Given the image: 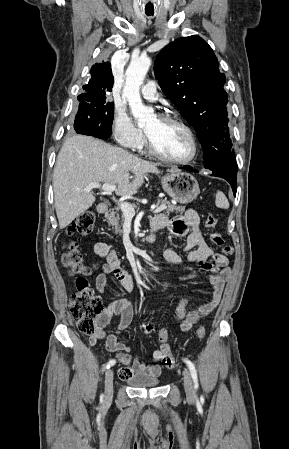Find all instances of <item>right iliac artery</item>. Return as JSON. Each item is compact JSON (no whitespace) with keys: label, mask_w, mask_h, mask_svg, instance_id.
Returning a JSON list of instances; mask_svg holds the SVG:
<instances>
[{"label":"right iliac artery","mask_w":289,"mask_h":449,"mask_svg":"<svg viewBox=\"0 0 289 449\" xmlns=\"http://www.w3.org/2000/svg\"><path fill=\"white\" fill-rule=\"evenodd\" d=\"M115 363H116L115 360H110L109 362H107V363L104 365L102 371H104L105 369H109V368H110L111 366H113Z\"/></svg>","instance_id":"1"}]
</instances>
